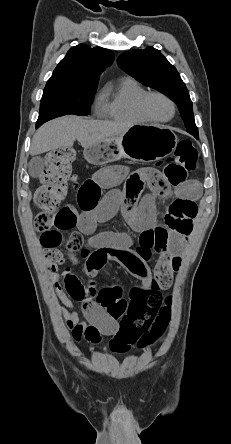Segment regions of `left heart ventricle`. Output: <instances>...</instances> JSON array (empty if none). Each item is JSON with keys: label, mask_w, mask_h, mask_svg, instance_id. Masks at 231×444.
Segmentation results:
<instances>
[{"label": "left heart ventricle", "mask_w": 231, "mask_h": 444, "mask_svg": "<svg viewBox=\"0 0 231 444\" xmlns=\"http://www.w3.org/2000/svg\"><path fill=\"white\" fill-rule=\"evenodd\" d=\"M148 110L156 118L167 119L172 114L170 103L158 96L151 97L148 101Z\"/></svg>", "instance_id": "b2bd125f"}]
</instances>
